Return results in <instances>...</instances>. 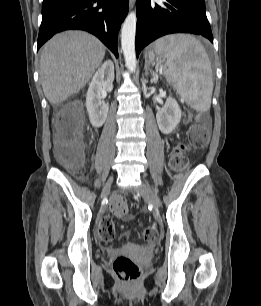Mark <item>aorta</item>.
Returning <instances> with one entry per match:
<instances>
[{"label": "aorta", "instance_id": "obj_1", "mask_svg": "<svg viewBox=\"0 0 261 306\" xmlns=\"http://www.w3.org/2000/svg\"><path fill=\"white\" fill-rule=\"evenodd\" d=\"M137 17L135 12H130L121 29V47L125 64L130 72L136 70L135 33Z\"/></svg>", "mask_w": 261, "mask_h": 306}]
</instances>
